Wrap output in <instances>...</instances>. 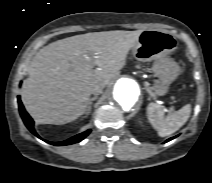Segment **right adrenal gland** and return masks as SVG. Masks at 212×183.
<instances>
[{
	"label": "right adrenal gland",
	"instance_id": "obj_1",
	"mask_svg": "<svg viewBox=\"0 0 212 183\" xmlns=\"http://www.w3.org/2000/svg\"><path fill=\"white\" fill-rule=\"evenodd\" d=\"M96 99H97V96H94V97L90 98L89 103H88V107L86 109V115H88L91 112L92 103Z\"/></svg>",
	"mask_w": 212,
	"mask_h": 183
}]
</instances>
